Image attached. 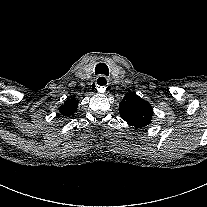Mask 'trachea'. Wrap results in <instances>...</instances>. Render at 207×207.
Instances as JSON below:
<instances>
[{"instance_id": "3493384b", "label": "trachea", "mask_w": 207, "mask_h": 207, "mask_svg": "<svg viewBox=\"0 0 207 207\" xmlns=\"http://www.w3.org/2000/svg\"><path fill=\"white\" fill-rule=\"evenodd\" d=\"M95 74H105L106 76H108L109 75V69H108L107 65L104 64V63L97 64L96 68H95ZM97 83L101 86L105 85V84H102L98 81H97Z\"/></svg>"}]
</instances>
